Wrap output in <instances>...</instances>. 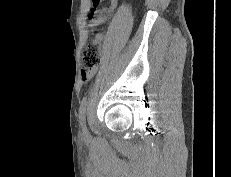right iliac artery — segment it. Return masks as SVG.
<instances>
[{
  "label": "right iliac artery",
  "mask_w": 231,
  "mask_h": 177,
  "mask_svg": "<svg viewBox=\"0 0 231 177\" xmlns=\"http://www.w3.org/2000/svg\"><path fill=\"white\" fill-rule=\"evenodd\" d=\"M87 106V98H83L80 108H79V119L83 129L85 128V111Z\"/></svg>",
  "instance_id": "1"
}]
</instances>
